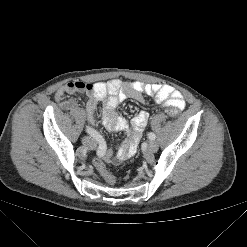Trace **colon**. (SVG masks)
<instances>
[{
  "instance_id": "5ec220e1",
  "label": "colon",
  "mask_w": 247,
  "mask_h": 247,
  "mask_svg": "<svg viewBox=\"0 0 247 247\" xmlns=\"http://www.w3.org/2000/svg\"><path fill=\"white\" fill-rule=\"evenodd\" d=\"M167 114L170 117L176 118L179 115V110L175 107H170L166 110ZM95 165L100 172V174L104 177V179L109 183V184H114L115 183V177L107 170L105 163L102 159H98L95 161Z\"/></svg>"
}]
</instances>
